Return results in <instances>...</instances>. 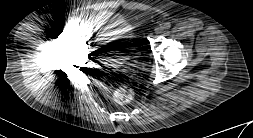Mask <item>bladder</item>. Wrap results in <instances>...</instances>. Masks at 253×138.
<instances>
[{"mask_svg": "<svg viewBox=\"0 0 253 138\" xmlns=\"http://www.w3.org/2000/svg\"><path fill=\"white\" fill-rule=\"evenodd\" d=\"M101 43L103 45H114L111 50H120L129 40L131 29L122 19H111L100 28Z\"/></svg>", "mask_w": 253, "mask_h": 138, "instance_id": "31cf9c89", "label": "bladder"}]
</instances>
